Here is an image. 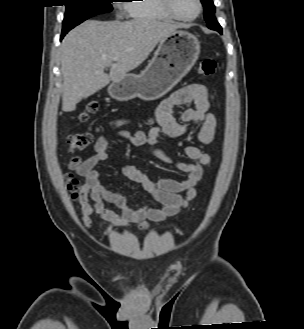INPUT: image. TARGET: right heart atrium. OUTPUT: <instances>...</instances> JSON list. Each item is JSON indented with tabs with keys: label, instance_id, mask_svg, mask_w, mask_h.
Here are the masks:
<instances>
[{
	"label": "right heart atrium",
	"instance_id": "right-heart-atrium-1",
	"mask_svg": "<svg viewBox=\"0 0 304 329\" xmlns=\"http://www.w3.org/2000/svg\"><path fill=\"white\" fill-rule=\"evenodd\" d=\"M122 10H123V6H122V5H119V7H118V11H119V12H122Z\"/></svg>",
	"mask_w": 304,
	"mask_h": 329
}]
</instances>
